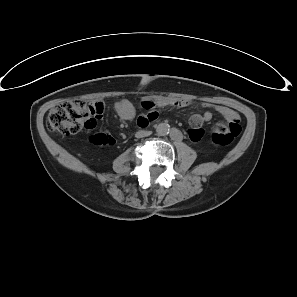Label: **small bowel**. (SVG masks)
Instances as JSON below:
<instances>
[{
  "label": "small bowel",
  "mask_w": 297,
  "mask_h": 297,
  "mask_svg": "<svg viewBox=\"0 0 297 297\" xmlns=\"http://www.w3.org/2000/svg\"><path fill=\"white\" fill-rule=\"evenodd\" d=\"M189 104L185 100H173V99H160L158 101L145 100L142 103L143 108L146 110V113L142 114L138 118V123L140 126L145 127L151 121H154L158 114L156 108L166 107V106H175V107H186ZM215 110L224 116L226 119L230 120L237 117V113L232 109L225 106H215ZM115 111L118 116L123 120H132L135 117V108L133 104L124 99L115 104ZM212 119V113L210 111H205L202 114H194L190 118V123L192 129L189 130V137L193 141H198L203 136V130L201 129L202 125L209 122Z\"/></svg>",
  "instance_id": "small-bowel-1"
}]
</instances>
